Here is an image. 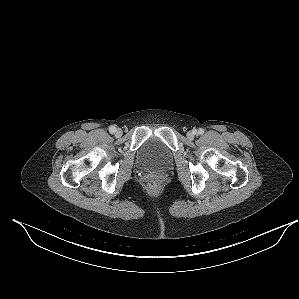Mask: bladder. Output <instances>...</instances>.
I'll use <instances>...</instances> for the list:
<instances>
[{
	"label": "bladder",
	"instance_id": "1",
	"mask_svg": "<svg viewBox=\"0 0 299 299\" xmlns=\"http://www.w3.org/2000/svg\"><path fill=\"white\" fill-rule=\"evenodd\" d=\"M138 159L147 168L161 170L170 165L172 153L160 140L150 138L141 146Z\"/></svg>",
	"mask_w": 299,
	"mask_h": 299
}]
</instances>
